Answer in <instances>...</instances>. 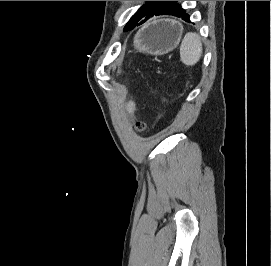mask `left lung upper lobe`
<instances>
[{"label": "left lung upper lobe", "instance_id": "5c2ea615", "mask_svg": "<svg viewBox=\"0 0 271 266\" xmlns=\"http://www.w3.org/2000/svg\"><path fill=\"white\" fill-rule=\"evenodd\" d=\"M177 1H147L129 20L126 24L125 29H132L137 23L145 18L148 14L152 12L170 11L175 5ZM127 31V30H126Z\"/></svg>", "mask_w": 271, "mask_h": 266}]
</instances>
